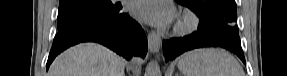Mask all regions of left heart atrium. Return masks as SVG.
I'll return each mask as SVG.
<instances>
[{
	"label": "left heart atrium",
	"instance_id": "39dd6f15",
	"mask_svg": "<svg viewBox=\"0 0 287 76\" xmlns=\"http://www.w3.org/2000/svg\"><path fill=\"white\" fill-rule=\"evenodd\" d=\"M131 12L139 20L156 26H167L176 19V11L167 0H136Z\"/></svg>",
	"mask_w": 287,
	"mask_h": 76
}]
</instances>
